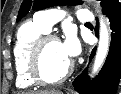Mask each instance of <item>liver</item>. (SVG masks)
Returning a JSON list of instances; mask_svg holds the SVG:
<instances>
[{"mask_svg":"<svg viewBox=\"0 0 121 94\" xmlns=\"http://www.w3.org/2000/svg\"><path fill=\"white\" fill-rule=\"evenodd\" d=\"M26 94H62L61 91L51 90V91H41L38 93H26Z\"/></svg>","mask_w":121,"mask_h":94,"instance_id":"6515ba94","label":"liver"}]
</instances>
